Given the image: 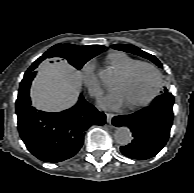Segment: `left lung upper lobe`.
<instances>
[{
    "mask_svg": "<svg viewBox=\"0 0 194 193\" xmlns=\"http://www.w3.org/2000/svg\"><path fill=\"white\" fill-rule=\"evenodd\" d=\"M112 48L142 56L146 59H149L153 63H155L157 66L162 67V64L155 56L142 51L141 49H139L136 46L128 45V44H116V45H112ZM167 92L168 91L165 89L164 93H167Z\"/></svg>",
    "mask_w": 194,
    "mask_h": 193,
    "instance_id": "5c2ea615",
    "label": "left lung upper lobe"
}]
</instances>
